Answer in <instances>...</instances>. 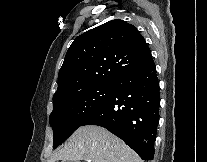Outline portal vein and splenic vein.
<instances>
[{"label": "portal vein and splenic vein", "mask_w": 207, "mask_h": 162, "mask_svg": "<svg viewBox=\"0 0 207 162\" xmlns=\"http://www.w3.org/2000/svg\"><path fill=\"white\" fill-rule=\"evenodd\" d=\"M86 162H91L90 160H86Z\"/></svg>", "instance_id": "obj_1"}]
</instances>
